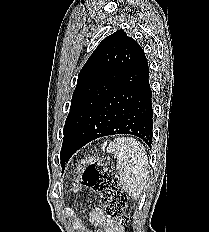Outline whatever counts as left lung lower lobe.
Returning a JSON list of instances; mask_svg holds the SVG:
<instances>
[{"mask_svg": "<svg viewBox=\"0 0 209 232\" xmlns=\"http://www.w3.org/2000/svg\"><path fill=\"white\" fill-rule=\"evenodd\" d=\"M152 117L148 62L140 47L124 79L76 130L70 142L69 158L87 143L108 135L131 134L151 147Z\"/></svg>", "mask_w": 209, "mask_h": 232, "instance_id": "1", "label": "left lung lower lobe"}]
</instances>
